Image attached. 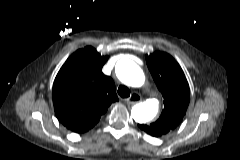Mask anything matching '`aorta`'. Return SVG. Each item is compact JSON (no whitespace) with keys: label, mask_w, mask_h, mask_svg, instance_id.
I'll list each match as a JSON object with an SVG mask.
<instances>
[{"label":"aorta","mask_w":240,"mask_h":160,"mask_svg":"<svg viewBox=\"0 0 240 160\" xmlns=\"http://www.w3.org/2000/svg\"><path fill=\"white\" fill-rule=\"evenodd\" d=\"M115 72L118 79L131 87H140L144 82L141 68L131 59H121L117 62ZM159 101L148 99L133 106L131 115L138 123L151 121L158 113Z\"/></svg>","instance_id":"762f6f07"}]
</instances>
